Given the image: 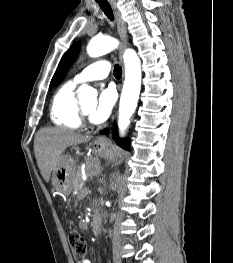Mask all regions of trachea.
<instances>
[{
  "mask_svg": "<svg viewBox=\"0 0 233 263\" xmlns=\"http://www.w3.org/2000/svg\"><path fill=\"white\" fill-rule=\"evenodd\" d=\"M96 1L99 4L102 11L106 14V16L110 20H113V13H112V9H111L109 3L106 0H96ZM113 74L116 78H121L122 69L119 65H115Z\"/></svg>",
  "mask_w": 233,
  "mask_h": 263,
  "instance_id": "trachea-1",
  "label": "trachea"
}]
</instances>
